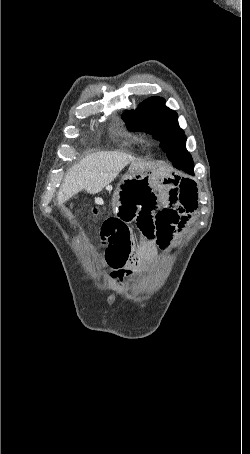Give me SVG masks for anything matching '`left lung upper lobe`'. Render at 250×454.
I'll use <instances>...</instances> for the list:
<instances>
[{"mask_svg":"<svg viewBox=\"0 0 250 454\" xmlns=\"http://www.w3.org/2000/svg\"><path fill=\"white\" fill-rule=\"evenodd\" d=\"M122 119L129 130L147 132L159 140L167 157L189 154L185 147L186 136L178 124V115L165 106L163 98H148L136 110L125 111Z\"/></svg>","mask_w":250,"mask_h":454,"instance_id":"5c2ea615","label":"left lung upper lobe"}]
</instances>
